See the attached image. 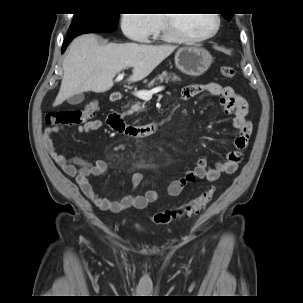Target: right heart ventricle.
I'll return each mask as SVG.
<instances>
[{"instance_id": "right-heart-ventricle-1", "label": "right heart ventricle", "mask_w": 303, "mask_h": 303, "mask_svg": "<svg viewBox=\"0 0 303 303\" xmlns=\"http://www.w3.org/2000/svg\"><path fill=\"white\" fill-rule=\"evenodd\" d=\"M156 18L159 22V27H158L157 31L152 34V36L155 37L156 35H160L161 37H163L165 39L173 40L165 32L163 17L162 16H156Z\"/></svg>"}]
</instances>
